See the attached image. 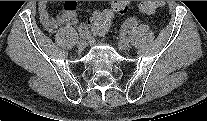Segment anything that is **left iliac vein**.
Masks as SVG:
<instances>
[{
    "mask_svg": "<svg viewBox=\"0 0 207 121\" xmlns=\"http://www.w3.org/2000/svg\"><path fill=\"white\" fill-rule=\"evenodd\" d=\"M118 45L121 50H126L129 47V41L127 38L122 37L119 39Z\"/></svg>",
    "mask_w": 207,
    "mask_h": 121,
    "instance_id": "1",
    "label": "left iliac vein"
}]
</instances>
